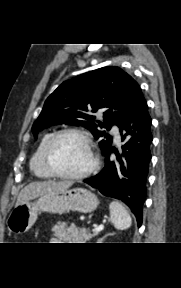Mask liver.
I'll use <instances>...</instances> for the list:
<instances>
[{
  "instance_id": "obj_1",
  "label": "liver",
  "mask_w": 181,
  "mask_h": 288,
  "mask_svg": "<svg viewBox=\"0 0 181 288\" xmlns=\"http://www.w3.org/2000/svg\"><path fill=\"white\" fill-rule=\"evenodd\" d=\"M72 184L73 182L71 181H41L30 183L21 190L17 198L16 206L38 198L46 193L66 190L71 187Z\"/></svg>"
}]
</instances>
